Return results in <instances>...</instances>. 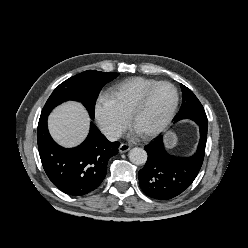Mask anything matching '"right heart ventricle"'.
<instances>
[{
    "label": "right heart ventricle",
    "mask_w": 248,
    "mask_h": 248,
    "mask_svg": "<svg viewBox=\"0 0 248 248\" xmlns=\"http://www.w3.org/2000/svg\"><path fill=\"white\" fill-rule=\"evenodd\" d=\"M156 82L154 79L145 77H132L111 86L108 90V94L119 111L128 118L131 108L142 93Z\"/></svg>",
    "instance_id": "obj_1"
}]
</instances>
